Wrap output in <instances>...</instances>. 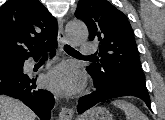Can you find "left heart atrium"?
<instances>
[{"label":"left heart atrium","instance_id":"1","mask_svg":"<svg viewBox=\"0 0 165 120\" xmlns=\"http://www.w3.org/2000/svg\"><path fill=\"white\" fill-rule=\"evenodd\" d=\"M44 83L48 88L58 94L72 95L82 88L84 79L74 65L62 63L46 75Z\"/></svg>","mask_w":165,"mask_h":120}]
</instances>
